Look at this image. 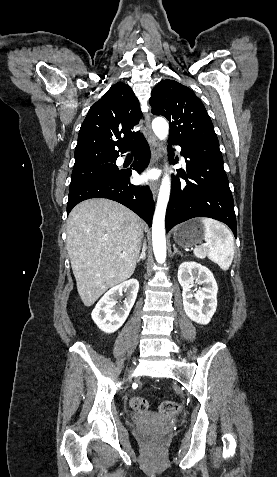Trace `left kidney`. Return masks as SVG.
Segmentation results:
<instances>
[{
    "label": "left kidney",
    "mask_w": 277,
    "mask_h": 477,
    "mask_svg": "<svg viewBox=\"0 0 277 477\" xmlns=\"http://www.w3.org/2000/svg\"><path fill=\"white\" fill-rule=\"evenodd\" d=\"M194 280L203 288L193 294ZM178 281L183 288V306L186 315L194 322L207 325L217 307L218 286L212 272L196 262H183L178 269Z\"/></svg>",
    "instance_id": "obj_1"
}]
</instances>
